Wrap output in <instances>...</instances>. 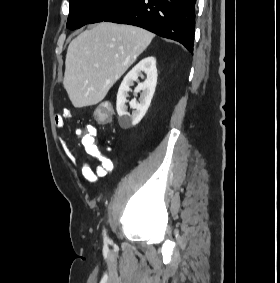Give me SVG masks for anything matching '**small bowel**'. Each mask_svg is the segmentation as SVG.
Here are the masks:
<instances>
[{
	"label": "small bowel",
	"instance_id": "obj_1",
	"mask_svg": "<svg viewBox=\"0 0 280 283\" xmlns=\"http://www.w3.org/2000/svg\"><path fill=\"white\" fill-rule=\"evenodd\" d=\"M73 119V113L70 110H63L61 113L55 116V125L58 128H62L65 123ZM96 132H84L80 131L82 146L85 152L98 160L99 164L96 168H93L89 163L82 162L80 164V171L83 178L90 184H95L102 177H105L112 171L114 164L111 158L102 154L100 148L97 145L95 139ZM62 150L65 157L74 165L77 164V157L74 151L65 143H62Z\"/></svg>",
	"mask_w": 280,
	"mask_h": 283
}]
</instances>
